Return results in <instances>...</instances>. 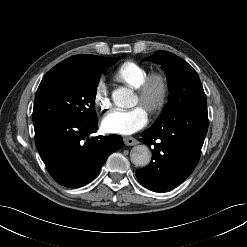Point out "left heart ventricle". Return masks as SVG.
<instances>
[{
    "label": "left heart ventricle",
    "instance_id": "obj_1",
    "mask_svg": "<svg viewBox=\"0 0 247 247\" xmlns=\"http://www.w3.org/2000/svg\"><path fill=\"white\" fill-rule=\"evenodd\" d=\"M136 103H137V104H140V101H139L138 96H136Z\"/></svg>",
    "mask_w": 247,
    "mask_h": 247
}]
</instances>
